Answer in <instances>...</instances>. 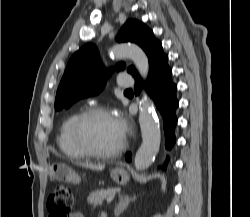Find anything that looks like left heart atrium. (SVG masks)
<instances>
[{
  "instance_id": "obj_1",
  "label": "left heart atrium",
  "mask_w": 250,
  "mask_h": 217,
  "mask_svg": "<svg viewBox=\"0 0 250 217\" xmlns=\"http://www.w3.org/2000/svg\"><path fill=\"white\" fill-rule=\"evenodd\" d=\"M114 118H115V123L118 127V130H119L121 136L124 137L126 134V131H127V124H126L125 120L119 116L114 117Z\"/></svg>"
}]
</instances>
